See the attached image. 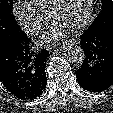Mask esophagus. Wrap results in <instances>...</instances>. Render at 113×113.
I'll use <instances>...</instances> for the list:
<instances>
[{"mask_svg":"<svg viewBox=\"0 0 113 113\" xmlns=\"http://www.w3.org/2000/svg\"><path fill=\"white\" fill-rule=\"evenodd\" d=\"M73 41H74V43L78 44V41L77 40H73Z\"/></svg>","mask_w":113,"mask_h":113,"instance_id":"34e87169","label":"esophagus"}]
</instances>
